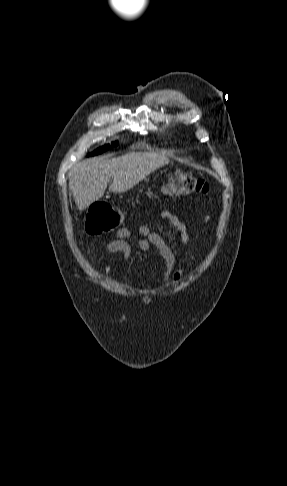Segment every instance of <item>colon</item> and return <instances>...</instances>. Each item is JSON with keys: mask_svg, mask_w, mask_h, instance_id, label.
Masks as SVG:
<instances>
[{"mask_svg": "<svg viewBox=\"0 0 287 486\" xmlns=\"http://www.w3.org/2000/svg\"><path fill=\"white\" fill-rule=\"evenodd\" d=\"M166 190L180 196L205 194L209 191V184L188 171H176L172 174ZM123 216L117 206L105 201L96 202L89 209L85 230L92 235L109 233L121 224Z\"/></svg>", "mask_w": 287, "mask_h": 486, "instance_id": "colon-1", "label": "colon"}]
</instances>
